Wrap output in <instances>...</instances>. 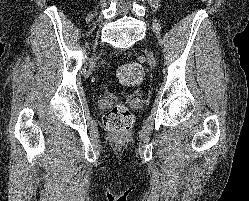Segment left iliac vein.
I'll return each instance as SVG.
<instances>
[{
    "label": "left iliac vein",
    "mask_w": 249,
    "mask_h": 201,
    "mask_svg": "<svg viewBox=\"0 0 249 201\" xmlns=\"http://www.w3.org/2000/svg\"><path fill=\"white\" fill-rule=\"evenodd\" d=\"M148 59L152 60L153 59L152 55L148 54Z\"/></svg>",
    "instance_id": "1"
}]
</instances>
